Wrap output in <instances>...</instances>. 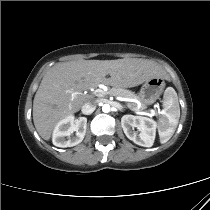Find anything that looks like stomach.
I'll return each mask as SVG.
<instances>
[{
	"instance_id": "stomach-1",
	"label": "stomach",
	"mask_w": 210,
	"mask_h": 210,
	"mask_svg": "<svg viewBox=\"0 0 210 210\" xmlns=\"http://www.w3.org/2000/svg\"><path fill=\"white\" fill-rule=\"evenodd\" d=\"M165 82L162 78H152L144 82L139 93L143 107L153 104L162 94Z\"/></svg>"
}]
</instances>
